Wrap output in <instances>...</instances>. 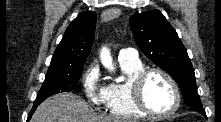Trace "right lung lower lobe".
Segmentation results:
<instances>
[{
	"mask_svg": "<svg viewBox=\"0 0 221 122\" xmlns=\"http://www.w3.org/2000/svg\"><path fill=\"white\" fill-rule=\"evenodd\" d=\"M40 103H34L33 105V108L32 110L30 111L29 115H28V120L32 117L34 111L36 110L37 106L39 105Z\"/></svg>",
	"mask_w": 221,
	"mask_h": 122,
	"instance_id": "1",
	"label": "right lung lower lobe"
}]
</instances>
